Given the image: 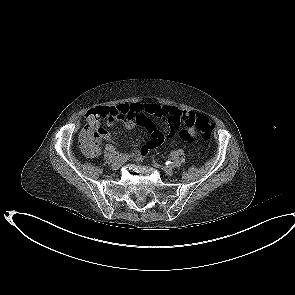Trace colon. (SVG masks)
I'll list each match as a JSON object with an SVG mask.
<instances>
[{
    "label": "colon",
    "mask_w": 295,
    "mask_h": 295,
    "mask_svg": "<svg viewBox=\"0 0 295 295\" xmlns=\"http://www.w3.org/2000/svg\"><path fill=\"white\" fill-rule=\"evenodd\" d=\"M91 111L88 113L89 115H91ZM91 118H92V116H91ZM92 119H94V118H92ZM99 120H103V119L99 118ZM189 126L194 127L196 129V131L204 139H209L212 135L213 130H214V124L208 118L203 117V116H198V117L193 118V120ZM80 144H81V147L83 148L84 151H89L91 149V138L83 137V135L81 134Z\"/></svg>",
    "instance_id": "1"
}]
</instances>
